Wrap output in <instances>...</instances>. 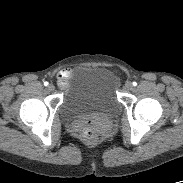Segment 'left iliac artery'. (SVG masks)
Wrapping results in <instances>:
<instances>
[{"mask_svg": "<svg viewBox=\"0 0 183 183\" xmlns=\"http://www.w3.org/2000/svg\"><path fill=\"white\" fill-rule=\"evenodd\" d=\"M132 84H133V86H136L137 85V82L134 81Z\"/></svg>", "mask_w": 183, "mask_h": 183, "instance_id": "1", "label": "left iliac artery"}]
</instances>
